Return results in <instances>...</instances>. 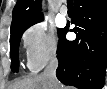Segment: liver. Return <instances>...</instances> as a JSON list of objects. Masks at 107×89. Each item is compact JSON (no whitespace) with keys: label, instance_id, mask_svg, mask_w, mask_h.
Returning <instances> with one entry per match:
<instances>
[{"label":"liver","instance_id":"1","mask_svg":"<svg viewBox=\"0 0 107 89\" xmlns=\"http://www.w3.org/2000/svg\"><path fill=\"white\" fill-rule=\"evenodd\" d=\"M56 89H67L59 82ZM9 89H50V83L42 74L30 76L21 80L15 81Z\"/></svg>","mask_w":107,"mask_h":89}]
</instances>
